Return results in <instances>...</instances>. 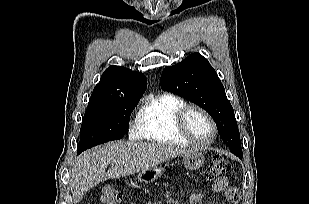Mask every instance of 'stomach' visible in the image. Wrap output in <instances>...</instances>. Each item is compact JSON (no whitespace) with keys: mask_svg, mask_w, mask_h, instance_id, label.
Masks as SVG:
<instances>
[{"mask_svg":"<svg viewBox=\"0 0 309 204\" xmlns=\"http://www.w3.org/2000/svg\"><path fill=\"white\" fill-rule=\"evenodd\" d=\"M204 160V154L198 149L189 150L183 155V164L188 170L199 169L203 165ZM166 166H168V163L164 165L159 164L148 170L141 171L137 178L142 183H152L161 177L165 172Z\"/></svg>","mask_w":309,"mask_h":204,"instance_id":"obj_1","label":"stomach"}]
</instances>
